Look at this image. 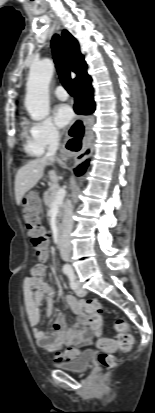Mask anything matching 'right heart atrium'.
Segmentation results:
<instances>
[{
    "label": "right heart atrium",
    "instance_id": "d8ad5b80",
    "mask_svg": "<svg viewBox=\"0 0 155 413\" xmlns=\"http://www.w3.org/2000/svg\"><path fill=\"white\" fill-rule=\"evenodd\" d=\"M29 132L31 141L40 154L57 144L60 139L59 130L49 118L32 122Z\"/></svg>",
    "mask_w": 155,
    "mask_h": 413
}]
</instances>
